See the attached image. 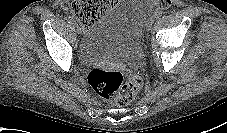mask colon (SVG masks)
Here are the masks:
<instances>
[{"label": "colon", "instance_id": "colon-1", "mask_svg": "<svg viewBox=\"0 0 227 133\" xmlns=\"http://www.w3.org/2000/svg\"><path fill=\"white\" fill-rule=\"evenodd\" d=\"M116 3V0H65L68 9L84 26L96 22L102 14ZM160 8H168L170 0H157ZM88 82L93 90L104 99H112L118 105L131 103L142 88L143 80L136 72L125 77L118 71L93 69L88 74Z\"/></svg>", "mask_w": 227, "mask_h": 133}]
</instances>
